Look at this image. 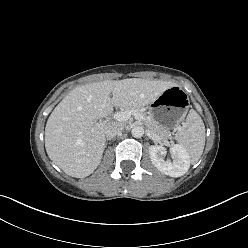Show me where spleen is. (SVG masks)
<instances>
[{
    "instance_id": "1",
    "label": "spleen",
    "mask_w": 248,
    "mask_h": 248,
    "mask_svg": "<svg viewBox=\"0 0 248 248\" xmlns=\"http://www.w3.org/2000/svg\"><path fill=\"white\" fill-rule=\"evenodd\" d=\"M176 139L189 154L192 164L196 163L205 146V126L199 114L191 109L185 125L176 133Z\"/></svg>"
}]
</instances>
